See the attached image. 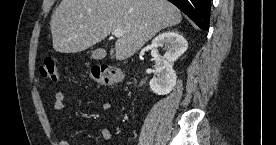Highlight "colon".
<instances>
[{
	"label": "colon",
	"mask_w": 276,
	"mask_h": 145,
	"mask_svg": "<svg viewBox=\"0 0 276 145\" xmlns=\"http://www.w3.org/2000/svg\"><path fill=\"white\" fill-rule=\"evenodd\" d=\"M39 74L42 79L56 82L59 80V70L57 62L54 58L44 60L39 69ZM91 78L102 85H116L123 81V73L113 67L105 65H95L91 68Z\"/></svg>",
	"instance_id": "obj_1"
}]
</instances>
